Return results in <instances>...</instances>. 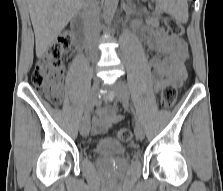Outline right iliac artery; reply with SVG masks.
I'll list each match as a JSON object with an SVG mask.
<instances>
[{
    "label": "right iliac artery",
    "instance_id": "82829eb1",
    "mask_svg": "<svg viewBox=\"0 0 223 191\" xmlns=\"http://www.w3.org/2000/svg\"><path fill=\"white\" fill-rule=\"evenodd\" d=\"M88 111H89V108L86 106V108L84 109V112L87 113Z\"/></svg>",
    "mask_w": 223,
    "mask_h": 191
}]
</instances>
